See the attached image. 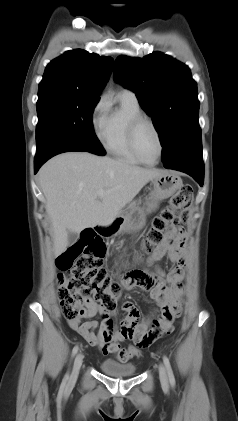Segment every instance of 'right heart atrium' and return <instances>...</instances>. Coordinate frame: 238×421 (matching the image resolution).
<instances>
[{
	"mask_svg": "<svg viewBox=\"0 0 238 421\" xmlns=\"http://www.w3.org/2000/svg\"><path fill=\"white\" fill-rule=\"evenodd\" d=\"M108 112V101L105 96H101L91 111V124L98 136L101 135L105 125V120Z\"/></svg>",
	"mask_w": 238,
	"mask_h": 421,
	"instance_id": "1",
	"label": "right heart atrium"
}]
</instances>
